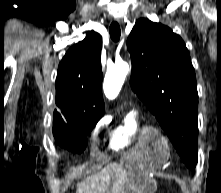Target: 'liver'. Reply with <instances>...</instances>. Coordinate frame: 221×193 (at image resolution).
I'll return each mask as SVG.
<instances>
[{"instance_id": "obj_1", "label": "liver", "mask_w": 221, "mask_h": 193, "mask_svg": "<svg viewBox=\"0 0 221 193\" xmlns=\"http://www.w3.org/2000/svg\"><path fill=\"white\" fill-rule=\"evenodd\" d=\"M128 175L123 166L108 164L99 173L77 184L76 193H122Z\"/></svg>"}]
</instances>
